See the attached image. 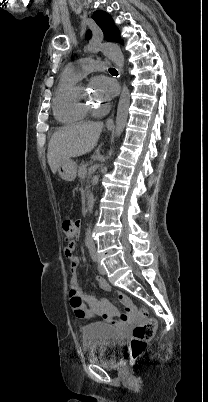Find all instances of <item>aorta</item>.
<instances>
[{
    "mask_svg": "<svg viewBox=\"0 0 208 402\" xmlns=\"http://www.w3.org/2000/svg\"><path fill=\"white\" fill-rule=\"evenodd\" d=\"M103 54H104V56H106V58H108V60H111V62H114V64H116L117 68H119L120 72H122V70L124 68V56L122 54L121 48H119V46H117V44H107V48H105V50H103ZM129 104H130V94H129V90H128L126 84H124V86L121 90L119 104H118V110H117V118H116V126H115L116 138H119V136H121V134L127 124ZM97 185H100V182H97ZM96 192H99V186H96ZM86 229H87V232L85 235L84 242L86 244V247L88 248L89 255L91 258H98L100 255V252H99V249L96 246L95 242L93 241L94 235H93V233H91L95 229L93 218H90V220L87 222Z\"/></svg>",
    "mask_w": 208,
    "mask_h": 402,
    "instance_id": "obj_1",
    "label": "aorta"
}]
</instances>
